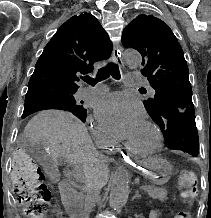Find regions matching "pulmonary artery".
<instances>
[{
	"mask_svg": "<svg viewBox=\"0 0 211 218\" xmlns=\"http://www.w3.org/2000/svg\"><path fill=\"white\" fill-rule=\"evenodd\" d=\"M126 79L132 80H125V87H130L131 85H144L145 89L155 88V85L149 84V80H146V75L143 74H126ZM108 90L109 88L107 85L103 84L102 82H98L95 86L81 87L78 91V98L89 99L99 97L106 94Z\"/></svg>",
	"mask_w": 211,
	"mask_h": 218,
	"instance_id": "obj_1",
	"label": "pulmonary artery"
}]
</instances>
